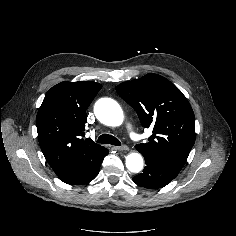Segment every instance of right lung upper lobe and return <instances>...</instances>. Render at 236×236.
<instances>
[{
	"label": "right lung upper lobe",
	"mask_w": 236,
	"mask_h": 236,
	"mask_svg": "<svg viewBox=\"0 0 236 236\" xmlns=\"http://www.w3.org/2000/svg\"><path fill=\"white\" fill-rule=\"evenodd\" d=\"M101 87L92 81L61 82L46 93L37 113L41 150L61 180L106 150L89 138H81L85 135L86 110Z\"/></svg>",
	"instance_id": "cb5924a9"
}]
</instances>
